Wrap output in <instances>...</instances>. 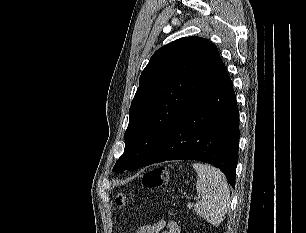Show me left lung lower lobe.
I'll list each match as a JSON object with an SVG mask.
<instances>
[{"instance_id":"obj_1","label":"left lung lower lobe","mask_w":306,"mask_h":233,"mask_svg":"<svg viewBox=\"0 0 306 233\" xmlns=\"http://www.w3.org/2000/svg\"><path fill=\"white\" fill-rule=\"evenodd\" d=\"M239 111L225 68L141 167L166 160H198L220 168L235 186Z\"/></svg>"}]
</instances>
